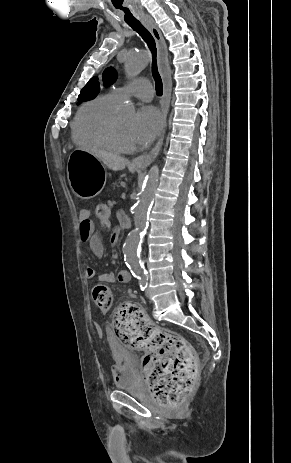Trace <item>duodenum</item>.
I'll return each mask as SVG.
<instances>
[{
    "label": "duodenum",
    "mask_w": 291,
    "mask_h": 463,
    "mask_svg": "<svg viewBox=\"0 0 291 463\" xmlns=\"http://www.w3.org/2000/svg\"><path fill=\"white\" fill-rule=\"evenodd\" d=\"M121 224L124 226V227H128L130 225L129 221L126 219V218H122L121 219ZM112 239V237H111Z\"/></svg>",
    "instance_id": "410a0bca"
}]
</instances>
